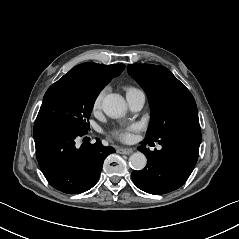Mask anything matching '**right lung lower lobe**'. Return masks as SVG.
Segmentation results:
<instances>
[{
	"label": "right lung lower lobe",
	"instance_id": "98d812e1",
	"mask_svg": "<svg viewBox=\"0 0 239 239\" xmlns=\"http://www.w3.org/2000/svg\"><path fill=\"white\" fill-rule=\"evenodd\" d=\"M88 132V131H87ZM87 132H78L57 120L35 122L33 135L36 157L49 184L64 193H82L92 188L100 177L104 159L116 152L96 143L75 146V138Z\"/></svg>",
	"mask_w": 239,
	"mask_h": 239
}]
</instances>
